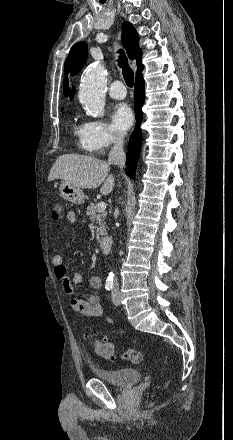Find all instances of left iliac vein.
<instances>
[{"instance_id": "left-iliac-vein-1", "label": "left iliac vein", "mask_w": 233, "mask_h": 440, "mask_svg": "<svg viewBox=\"0 0 233 440\" xmlns=\"http://www.w3.org/2000/svg\"><path fill=\"white\" fill-rule=\"evenodd\" d=\"M111 298L114 305H120L119 287L117 285L114 286L111 292Z\"/></svg>"}]
</instances>
